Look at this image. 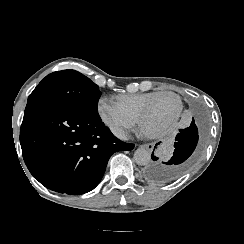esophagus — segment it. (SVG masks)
Returning <instances> with one entry per match:
<instances>
[{"label": "esophagus", "mask_w": 244, "mask_h": 244, "mask_svg": "<svg viewBox=\"0 0 244 244\" xmlns=\"http://www.w3.org/2000/svg\"><path fill=\"white\" fill-rule=\"evenodd\" d=\"M140 147L148 150L149 152H152L154 149V144L153 143L142 144V145H140Z\"/></svg>", "instance_id": "esophagus-1"}]
</instances>
